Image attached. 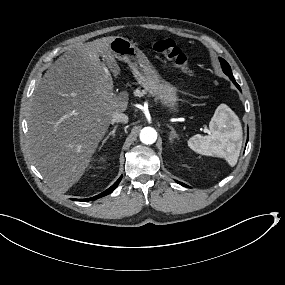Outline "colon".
Wrapping results in <instances>:
<instances>
[{"label": "colon", "mask_w": 285, "mask_h": 285, "mask_svg": "<svg viewBox=\"0 0 285 285\" xmlns=\"http://www.w3.org/2000/svg\"><path fill=\"white\" fill-rule=\"evenodd\" d=\"M152 49L172 61L177 67L186 73L193 74V70L188 63V59L177 44L170 38L155 41Z\"/></svg>", "instance_id": "colon-1"}]
</instances>
